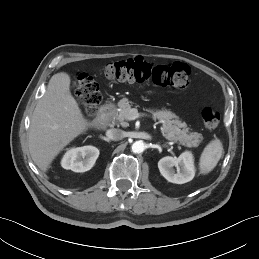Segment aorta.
I'll use <instances>...</instances> for the list:
<instances>
[{
  "label": "aorta",
  "instance_id": "obj_1",
  "mask_svg": "<svg viewBox=\"0 0 259 259\" xmlns=\"http://www.w3.org/2000/svg\"><path fill=\"white\" fill-rule=\"evenodd\" d=\"M145 150V143L143 141H136L132 144L133 153H142Z\"/></svg>",
  "mask_w": 259,
  "mask_h": 259
}]
</instances>
